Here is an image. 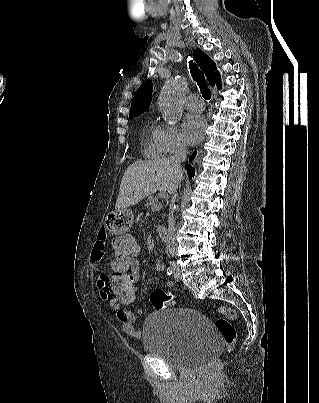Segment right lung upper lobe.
Returning <instances> with one entry per match:
<instances>
[{
	"label": "right lung upper lobe",
	"instance_id": "obj_1",
	"mask_svg": "<svg viewBox=\"0 0 319 403\" xmlns=\"http://www.w3.org/2000/svg\"><path fill=\"white\" fill-rule=\"evenodd\" d=\"M195 60L205 73L208 81L213 86L214 82L218 89H221L219 73H215L216 64L200 49L195 51ZM153 83L146 80L136 91L132 100L129 117L138 116L147 110L151 104Z\"/></svg>",
	"mask_w": 319,
	"mask_h": 403
}]
</instances>
